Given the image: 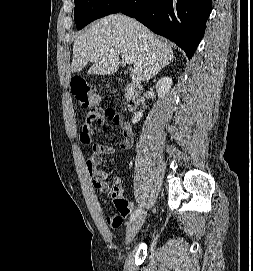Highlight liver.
<instances>
[{
  "label": "liver",
  "instance_id": "6515ba94",
  "mask_svg": "<svg viewBox=\"0 0 253 271\" xmlns=\"http://www.w3.org/2000/svg\"><path fill=\"white\" fill-rule=\"evenodd\" d=\"M119 55L132 60L133 81L150 80L174 58L172 48L147 27L116 14L95 21L76 36L71 71L79 72L92 62L89 74H114L119 69Z\"/></svg>",
  "mask_w": 253,
  "mask_h": 271
}]
</instances>
